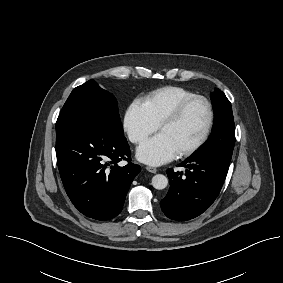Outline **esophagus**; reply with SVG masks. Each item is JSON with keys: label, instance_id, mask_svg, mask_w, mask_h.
<instances>
[{"label": "esophagus", "instance_id": "obj_1", "mask_svg": "<svg viewBox=\"0 0 283 283\" xmlns=\"http://www.w3.org/2000/svg\"><path fill=\"white\" fill-rule=\"evenodd\" d=\"M146 170L151 172V173H156L157 172V169L155 167H151V166H147Z\"/></svg>", "mask_w": 283, "mask_h": 283}]
</instances>
